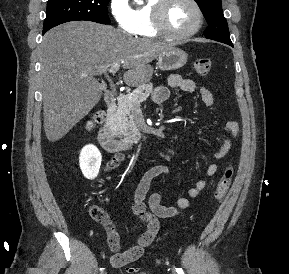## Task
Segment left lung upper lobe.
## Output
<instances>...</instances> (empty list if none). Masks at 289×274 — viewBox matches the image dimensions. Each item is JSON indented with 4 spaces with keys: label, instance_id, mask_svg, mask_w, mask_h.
<instances>
[{
    "label": "left lung upper lobe",
    "instance_id": "1",
    "mask_svg": "<svg viewBox=\"0 0 289 274\" xmlns=\"http://www.w3.org/2000/svg\"><path fill=\"white\" fill-rule=\"evenodd\" d=\"M201 9L208 27L204 31L207 39L222 43H230V34L227 21L223 15L221 0H195ZM232 43V42H231Z\"/></svg>",
    "mask_w": 289,
    "mask_h": 274
}]
</instances>
